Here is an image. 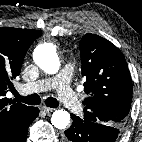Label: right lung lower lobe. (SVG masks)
I'll use <instances>...</instances> for the list:
<instances>
[{
	"label": "right lung lower lobe",
	"instance_id": "right-lung-lower-lobe-1",
	"mask_svg": "<svg viewBox=\"0 0 142 142\" xmlns=\"http://www.w3.org/2000/svg\"><path fill=\"white\" fill-rule=\"evenodd\" d=\"M39 115V109L37 107H31L30 113L24 123L17 129L13 137L7 142H25L28 134V127L31 122Z\"/></svg>",
	"mask_w": 142,
	"mask_h": 142
}]
</instances>
